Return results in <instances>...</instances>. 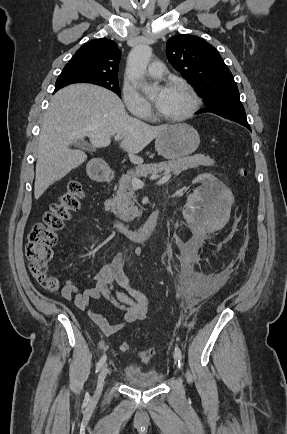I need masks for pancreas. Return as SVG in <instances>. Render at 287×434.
<instances>
[{
  "label": "pancreas",
  "mask_w": 287,
  "mask_h": 434,
  "mask_svg": "<svg viewBox=\"0 0 287 434\" xmlns=\"http://www.w3.org/2000/svg\"><path fill=\"white\" fill-rule=\"evenodd\" d=\"M214 159L202 154L186 156L176 160L143 164L135 167L134 170L128 171L123 175L118 182V190L116 196L112 200V211L125 222H130L140 215V211L135 206L137 202L136 196L133 193L132 179L147 177L148 175L157 176L162 172L170 171L175 176L182 171L198 168L200 166H213Z\"/></svg>",
  "instance_id": "1"
}]
</instances>
